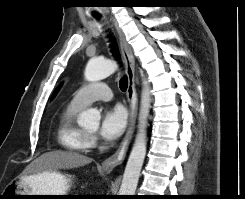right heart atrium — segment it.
Segmentation results:
<instances>
[{"label": "right heart atrium", "mask_w": 245, "mask_h": 199, "mask_svg": "<svg viewBox=\"0 0 245 199\" xmlns=\"http://www.w3.org/2000/svg\"><path fill=\"white\" fill-rule=\"evenodd\" d=\"M90 142L91 144H94L96 142V138L94 136H90Z\"/></svg>", "instance_id": "obj_1"}]
</instances>
